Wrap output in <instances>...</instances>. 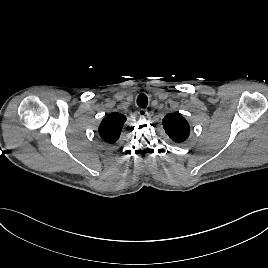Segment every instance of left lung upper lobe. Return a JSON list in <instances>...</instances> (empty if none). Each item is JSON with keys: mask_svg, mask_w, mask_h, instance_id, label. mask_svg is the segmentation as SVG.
I'll return each mask as SVG.
<instances>
[{"mask_svg": "<svg viewBox=\"0 0 268 268\" xmlns=\"http://www.w3.org/2000/svg\"><path fill=\"white\" fill-rule=\"evenodd\" d=\"M165 132L176 143H183L190 135L187 120L179 113L168 114L163 119Z\"/></svg>", "mask_w": 268, "mask_h": 268, "instance_id": "1", "label": "left lung upper lobe"}]
</instances>
